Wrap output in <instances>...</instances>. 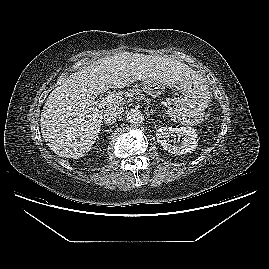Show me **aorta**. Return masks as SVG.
I'll use <instances>...</instances> for the list:
<instances>
[{
    "label": "aorta",
    "mask_w": 269,
    "mask_h": 269,
    "mask_svg": "<svg viewBox=\"0 0 269 269\" xmlns=\"http://www.w3.org/2000/svg\"><path fill=\"white\" fill-rule=\"evenodd\" d=\"M126 119L131 124H141L144 120L143 114L138 110H130L127 115Z\"/></svg>",
    "instance_id": "aorta-1"
}]
</instances>
